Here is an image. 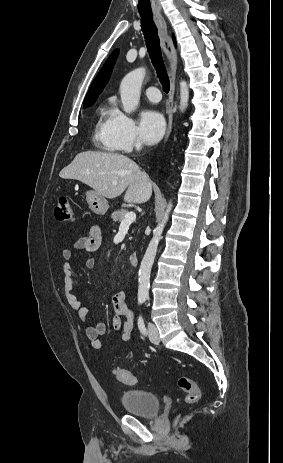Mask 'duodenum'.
<instances>
[{
    "mask_svg": "<svg viewBox=\"0 0 283 463\" xmlns=\"http://www.w3.org/2000/svg\"><path fill=\"white\" fill-rule=\"evenodd\" d=\"M129 262L131 266H136L138 263V257L136 255H131L129 258Z\"/></svg>",
    "mask_w": 283,
    "mask_h": 463,
    "instance_id": "1",
    "label": "duodenum"
}]
</instances>
